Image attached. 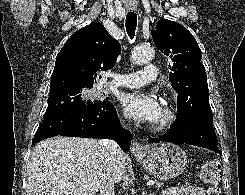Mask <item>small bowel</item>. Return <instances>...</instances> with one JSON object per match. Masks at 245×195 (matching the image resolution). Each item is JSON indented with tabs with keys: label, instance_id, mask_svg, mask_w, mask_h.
<instances>
[{
	"label": "small bowel",
	"instance_id": "c3829d8e",
	"mask_svg": "<svg viewBox=\"0 0 245 195\" xmlns=\"http://www.w3.org/2000/svg\"><path fill=\"white\" fill-rule=\"evenodd\" d=\"M161 195H206V190L194 186L170 187L164 190Z\"/></svg>",
	"mask_w": 245,
	"mask_h": 195
}]
</instances>
